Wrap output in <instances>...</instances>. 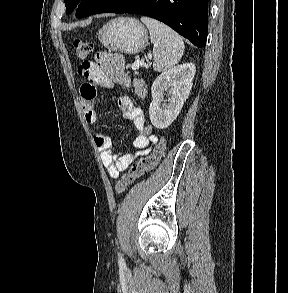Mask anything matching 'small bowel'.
I'll list each match as a JSON object with an SVG mask.
<instances>
[{"label": "small bowel", "instance_id": "obj_1", "mask_svg": "<svg viewBox=\"0 0 288 293\" xmlns=\"http://www.w3.org/2000/svg\"><path fill=\"white\" fill-rule=\"evenodd\" d=\"M78 72L89 81L80 89L84 118L89 124L97 123L96 86L113 89L120 85L132 89L137 99L146 97L144 82L141 79L131 78L125 72V60L120 54L98 53L95 62L81 63ZM118 107L122 111L123 117L131 121L137 130L133 141L136 151L117 155L113 152L112 141L106 133L97 131L94 134V141L98 147L102 164L113 179L117 178L120 172L124 171L138 157L148 154L152 145L157 142V137L152 133V126L146 123L143 111L135 106L131 98L119 97Z\"/></svg>", "mask_w": 288, "mask_h": 293}]
</instances>
